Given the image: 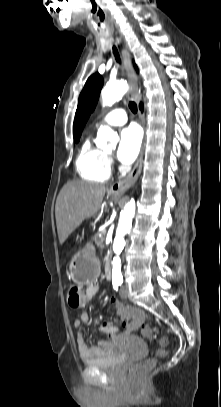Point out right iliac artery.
<instances>
[{"label": "right iliac artery", "instance_id": "82829eb1", "mask_svg": "<svg viewBox=\"0 0 221 407\" xmlns=\"http://www.w3.org/2000/svg\"><path fill=\"white\" fill-rule=\"evenodd\" d=\"M118 286H119V284L116 282V283H113V288L117 291L118 290Z\"/></svg>", "mask_w": 221, "mask_h": 407}]
</instances>
